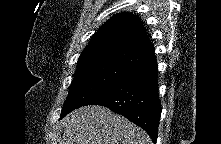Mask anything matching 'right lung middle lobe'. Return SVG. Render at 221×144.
<instances>
[{
	"label": "right lung middle lobe",
	"mask_w": 221,
	"mask_h": 144,
	"mask_svg": "<svg viewBox=\"0 0 221 144\" xmlns=\"http://www.w3.org/2000/svg\"><path fill=\"white\" fill-rule=\"evenodd\" d=\"M143 59L141 55L110 51L78 60L60 119L72 110L84 106L94 95L120 80Z\"/></svg>",
	"instance_id": "right-lung-middle-lobe-1"
}]
</instances>
